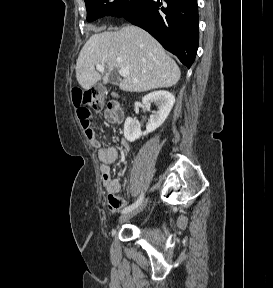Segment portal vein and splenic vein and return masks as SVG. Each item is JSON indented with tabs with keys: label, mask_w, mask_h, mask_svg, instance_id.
Returning a JSON list of instances; mask_svg holds the SVG:
<instances>
[{
	"label": "portal vein and splenic vein",
	"mask_w": 273,
	"mask_h": 288,
	"mask_svg": "<svg viewBox=\"0 0 273 288\" xmlns=\"http://www.w3.org/2000/svg\"><path fill=\"white\" fill-rule=\"evenodd\" d=\"M96 69L98 70V71H100V72H103L104 70H105V66L104 65H101V64H97L96 65ZM119 75L121 76V77H128L129 76V70L128 69H126V68H121L120 70H119Z\"/></svg>",
	"instance_id": "portal-vein-and-splenic-vein-1"
}]
</instances>
